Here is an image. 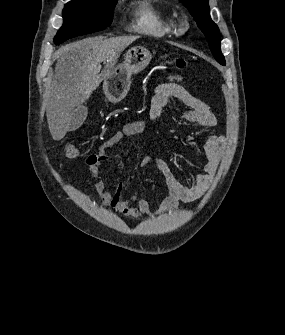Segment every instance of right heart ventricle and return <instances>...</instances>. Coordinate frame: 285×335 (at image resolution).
<instances>
[{
    "label": "right heart ventricle",
    "instance_id": "e07e8e85",
    "mask_svg": "<svg viewBox=\"0 0 285 335\" xmlns=\"http://www.w3.org/2000/svg\"><path fill=\"white\" fill-rule=\"evenodd\" d=\"M136 28L140 34L154 38H162L169 31L168 25L154 2H145L141 5Z\"/></svg>",
    "mask_w": 285,
    "mask_h": 335
}]
</instances>
